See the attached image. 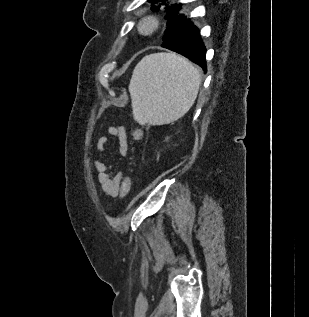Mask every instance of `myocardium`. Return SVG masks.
<instances>
[{"label": "myocardium", "instance_id": "obj_1", "mask_svg": "<svg viewBox=\"0 0 309 317\" xmlns=\"http://www.w3.org/2000/svg\"><path fill=\"white\" fill-rule=\"evenodd\" d=\"M158 28V21L155 17H147L143 19L139 25V31L143 35H151Z\"/></svg>", "mask_w": 309, "mask_h": 317}]
</instances>
